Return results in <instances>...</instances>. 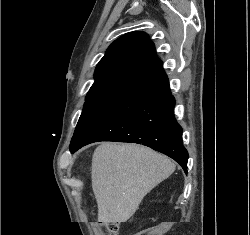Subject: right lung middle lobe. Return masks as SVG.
I'll use <instances>...</instances> for the list:
<instances>
[{
	"mask_svg": "<svg viewBox=\"0 0 250 235\" xmlns=\"http://www.w3.org/2000/svg\"><path fill=\"white\" fill-rule=\"evenodd\" d=\"M130 97L129 95H100L86 98L70 145L76 144L88 131L113 113Z\"/></svg>",
	"mask_w": 250,
	"mask_h": 235,
	"instance_id": "obj_1",
	"label": "right lung middle lobe"
}]
</instances>
